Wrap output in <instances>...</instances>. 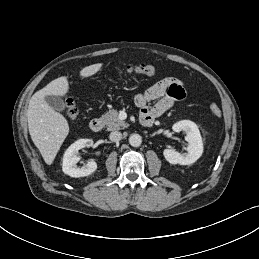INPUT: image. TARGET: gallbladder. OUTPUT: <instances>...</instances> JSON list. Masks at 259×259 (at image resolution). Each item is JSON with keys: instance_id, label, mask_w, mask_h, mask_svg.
<instances>
[{"instance_id": "bac80fb5", "label": "gallbladder", "mask_w": 259, "mask_h": 259, "mask_svg": "<svg viewBox=\"0 0 259 259\" xmlns=\"http://www.w3.org/2000/svg\"><path fill=\"white\" fill-rule=\"evenodd\" d=\"M47 104L56 111H64L66 108L65 103L63 100L58 96L49 95L45 97Z\"/></svg>"}]
</instances>
